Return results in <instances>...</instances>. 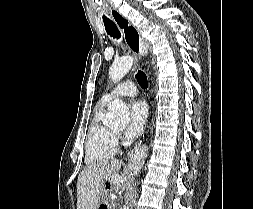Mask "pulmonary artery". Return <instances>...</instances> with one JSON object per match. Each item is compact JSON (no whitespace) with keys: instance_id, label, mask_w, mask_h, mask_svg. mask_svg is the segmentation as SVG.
<instances>
[{"instance_id":"1","label":"pulmonary artery","mask_w":253,"mask_h":209,"mask_svg":"<svg viewBox=\"0 0 253 209\" xmlns=\"http://www.w3.org/2000/svg\"><path fill=\"white\" fill-rule=\"evenodd\" d=\"M136 93V86L131 81H125L102 96L101 101L109 102L114 97L133 96Z\"/></svg>"}]
</instances>
